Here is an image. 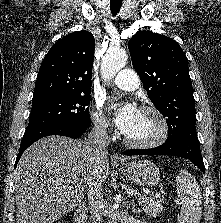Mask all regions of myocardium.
I'll list each match as a JSON object with an SVG mask.
<instances>
[{"label":"myocardium","mask_w":221,"mask_h":223,"mask_svg":"<svg viewBox=\"0 0 221 223\" xmlns=\"http://www.w3.org/2000/svg\"><path fill=\"white\" fill-rule=\"evenodd\" d=\"M141 112L153 114L159 122L160 130L159 133L148 141H133L125 135L123 136V143L129 147L137 149H152L162 145L168 138L170 127L166 116L156 107L153 106H142Z\"/></svg>","instance_id":"obj_1"}]
</instances>
